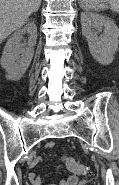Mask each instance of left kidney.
I'll return each instance as SVG.
<instances>
[{"instance_id": "obj_1", "label": "left kidney", "mask_w": 119, "mask_h": 185, "mask_svg": "<svg viewBox=\"0 0 119 185\" xmlns=\"http://www.w3.org/2000/svg\"><path fill=\"white\" fill-rule=\"evenodd\" d=\"M81 25L93 58L102 65L112 63L119 43V28L114 21L98 13L82 12ZM101 27L103 33L98 37L96 30Z\"/></svg>"}]
</instances>
